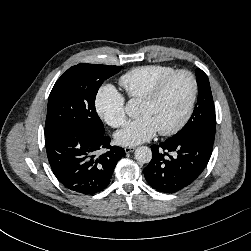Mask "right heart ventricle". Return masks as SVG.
<instances>
[{
	"mask_svg": "<svg viewBox=\"0 0 251 251\" xmlns=\"http://www.w3.org/2000/svg\"><path fill=\"white\" fill-rule=\"evenodd\" d=\"M176 71L166 65H146L133 68L123 74L119 84L132 100H141L158 82Z\"/></svg>",
	"mask_w": 251,
	"mask_h": 251,
	"instance_id": "obj_1",
	"label": "right heart ventricle"
}]
</instances>
